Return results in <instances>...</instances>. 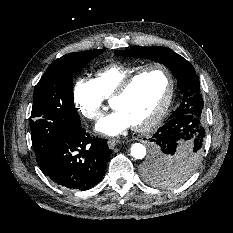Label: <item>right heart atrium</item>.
<instances>
[{
    "mask_svg": "<svg viewBox=\"0 0 233 233\" xmlns=\"http://www.w3.org/2000/svg\"><path fill=\"white\" fill-rule=\"evenodd\" d=\"M72 100L77 112L87 120L96 121L101 117L104 98L93 79L78 78L73 86Z\"/></svg>",
    "mask_w": 233,
    "mask_h": 233,
    "instance_id": "d8ad5b80",
    "label": "right heart atrium"
}]
</instances>
